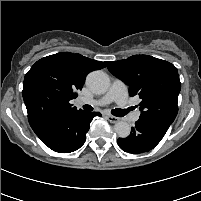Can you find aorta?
Instances as JSON below:
<instances>
[{
	"label": "aorta",
	"mask_w": 201,
	"mask_h": 201,
	"mask_svg": "<svg viewBox=\"0 0 201 201\" xmlns=\"http://www.w3.org/2000/svg\"><path fill=\"white\" fill-rule=\"evenodd\" d=\"M86 84L95 94H104L109 89L110 80L105 72L98 70L91 72L87 76ZM114 130L120 138H126L130 134L131 127L129 123L125 121H118L114 125Z\"/></svg>",
	"instance_id": "obj_1"
}]
</instances>
